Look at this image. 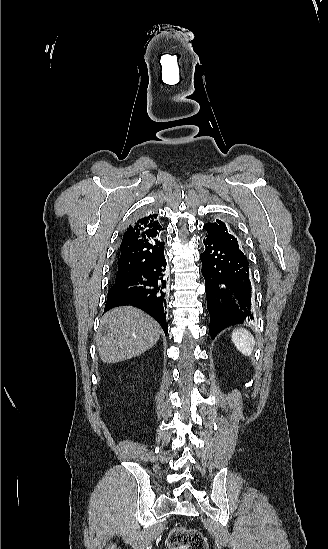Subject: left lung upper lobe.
Segmentation results:
<instances>
[{
	"instance_id": "left-lung-upper-lobe-1",
	"label": "left lung upper lobe",
	"mask_w": 328,
	"mask_h": 549,
	"mask_svg": "<svg viewBox=\"0 0 328 549\" xmlns=\"http://www.w3.org/2000/svg\"><path fill=\"white\" fill-rule=\"evenodd\" d=\"M203 229L206 230V236H211L217 240L239 248L237 238L221 220L217 219L212 223L209 222L203 226Z\"/></svg>"
}]
</instances>
